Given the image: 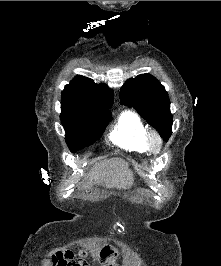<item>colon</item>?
<instances>
[{
  "instance_id": "obj_1",
  "label": "colon",
  "mask_w": 221,
  "mask_h": 266,
  "mask_svg": "<svg viewBox=\"0 0 221 266\" xmlns=\"http://www.w3.org/2000/svg\"><path fill=\"white\" fill-rule=\"evenodd\" d=\"M100 257H101L102 261H104L106 263L105 266H118L114 261L115 254H114V251L111 247L106 246L101 251Z\"/></svg>"
}]
</instances>
